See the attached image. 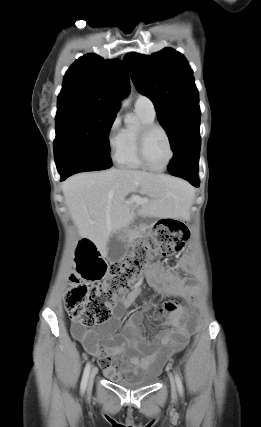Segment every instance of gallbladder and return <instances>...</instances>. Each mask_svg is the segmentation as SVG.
<instances>
[{
  "mask_svg": "<svg viewBox=\"0 0 261 427\" xmlns=\"http://www.w3.org/2000/svg\"><path fill=\"white\" fill-rule=\"evenodd\" d=\"M107 259L112 262L120 261L126 253V245L117 234H112L106 245Z\"/></svg>",
  "mask_w": 261,
  "mask_h": 427,
  "instance_id": "obj_1",
  "label": "gallbladder"
}]
</instances>
